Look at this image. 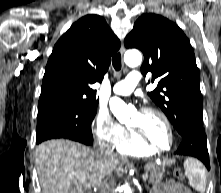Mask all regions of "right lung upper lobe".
Wrapping results in <instances>:
<instances>
[{
	"instance_id": "cb5924a9",
	"label": "right lung upper lobe",
	"mask_w": 221,
	"mask_h": 193,
	"mask_svg": "<svg viewBox=\"0 0 221 193\" xmlns=\"http://www.w3.org/2000/svg\"><path fill=\"white\" fill-rule=\"evenodd\" d=\"M120 41L99 15L75 22L55 44L46 65L39 108L68 104L97 105L96 90Z\"/></svg>"
}]
</instances>
